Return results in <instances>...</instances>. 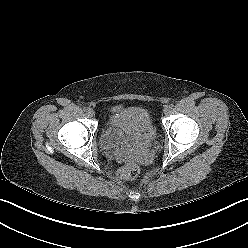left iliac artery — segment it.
I'll return each mask as SVG.
<instances>
[{"instance_id": "1", "label": "left iliac artery", "mask_w": 248, "mask_h": 248, "mask_svg": "<svg viewBox=\"0 0 248 248\" xmlns=\"http://www.w3.org/2000/svg\"><path fill=\"white\" fill-rule=\"evenodd\" d=\"M170 107H171V108H173V107H174V105H173V104H171V105H170Z\"/></svg>"}]
</instances>
